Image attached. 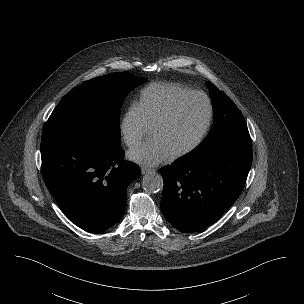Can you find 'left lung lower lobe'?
I'll return each instance as SVG.
<instances>
[{"label": "left lung lower lobe", "instance_id": "left-lung-lower-lobe-1", "mask_svg": "<svg viewBox=\"0 0 304 304\" xmlns=\"http://www.w3.org/2000/svg\"><path fill=\"white\" fill-rule=\"evenodd\" d=\"M251 164L252 147L232 145L164 166L165 219L181 232L212 225L239 197Z\"/></svg>", "mask_w": 304, "mask_h": 304}]
</instances>
